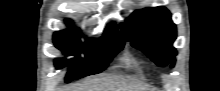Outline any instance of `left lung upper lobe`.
Listing matches in <instances>:
<instances>
[{"label":"left lung upper lobe","mask_w":220,"mask_h":91,"mask_svg":"<svg viewBox=\"0 0 220 91\" xmlns=\"http://www.w3.org/2000/svg\"><path fill=\"white\" fill-rule=\"evenodd\" d=\"M121 28L125 39L159 66H165L176 56V49L172 46L176 39V26L165 7L136 10Z\"/></svg>","instance_id":"left-lung-upper-lobe-1"}]
</instances>
